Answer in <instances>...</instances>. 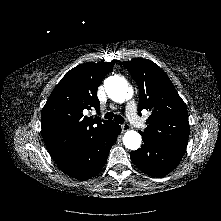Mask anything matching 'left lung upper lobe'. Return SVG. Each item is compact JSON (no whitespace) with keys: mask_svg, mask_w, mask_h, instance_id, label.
Masks as SVG:
<instances>
[{"mask_svg":"<svg viewBox=\"0 0 221 221\" xmlns=\"http://www.w3.org/2000/svg\"><path fill=\"white\" fill-rule=\"evenodd\" d=\"M139 88V115L142 109L151 115L141 134L175 147L185 149L190 133L188 113L166 73L148 59L123 62Z\"/></svg>","mask_w":221,"mask_h":221,"instance_id":"obj_1","label":"left lung upper lobe"}]
</instances>
